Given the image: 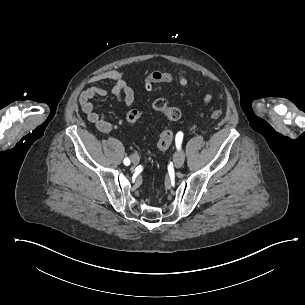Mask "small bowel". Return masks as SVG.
<instances>
[{"label": "small bowel", "instance_id": "small-bowel-1", "mask_svg": "<svg viewBox=\"0 0 305 305\" xmlns=\"http://www.w3.org/2000/svg\"><path fill=\"white\" fill-rule=\"evenodd\" d=\"M105 80H110L113 82L112 92L114 96L119 101H121L126 108H131L134 105V90L126 82L125 73L122 70L111 69L96 74L92 78V81L94 82ZM106 94L107 91L104 88L91 87L85 90L79 97V105L81 111L84 113L87 120L102 133H109L113 129V124L107 116L100 114L95 110L93 100L95 98L104 97ZM190 94H192V92H190ZM210 101L211 95H205L203 98L204 105H207Z\"/></svg>", "mask_w": 305, "mask_h": 305}]
</instances>
